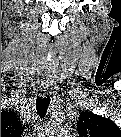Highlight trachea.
<instances>
[{"label": "trachea", "mask_w": 121, "mask_h": 137, "mask_svg": "<svg viewBox=\"0 0 121 137\" xmlns=\"http://www.w3.org/2000/svg\"><path fill=\"white\" fill-rule=\"evenodd\" d=\"M49 103H50V98L49 97L43 98V97L39 96L37 98V100H36V110H37L38 114L41 117H44L46 115Z\"/></svg>", "instance_id": "obj_1"}]
</instances>
